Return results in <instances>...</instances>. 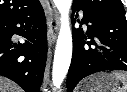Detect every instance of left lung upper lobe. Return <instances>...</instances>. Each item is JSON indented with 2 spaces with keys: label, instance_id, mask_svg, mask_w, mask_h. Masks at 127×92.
Masks as SVG:
<instances>
[{
  "label": "left lung upper lobe",
  "instance_id": "obj_1",
  "mask_svg": "<svg viewBox=\"0 0 127 92\" xmlns=\"http://www.w3.org/2000/svg\"><path fill=\"white\" fill-rule=\"evenodd\" d=\"M73 5L93 13L125 18L121 0H73Z\"/></svg>",
  "mask_w": 127,
  "mask_h": 92
}]
</instances>
